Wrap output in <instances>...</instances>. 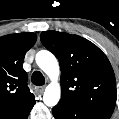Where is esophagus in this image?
<instances>
[{
  "instance_id": "1",
  "label": "esophagus",
  "mask_w": 119,
  "mask_h": 119,
  "mask_svg": "<svg viewBox=\"0 0 119 119\" xmlns=\"http://www.w3.org/2000/svg\"><path fill=\"white\" fill-rule=\"evenodd\" d=\"M44 90H45V87L44 86H40V87L37 88V92L39 94H42L44 92Z\"/></svg>"
}]
</instances>
